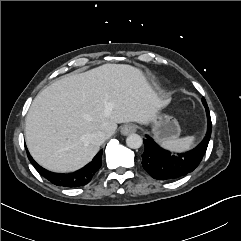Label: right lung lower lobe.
Listing matches in <instances>:
<instances>
[{
    "mask_svg": "<svg viewBox=\"0 0 241 241\" xmlns=\"http://www.w3.org/2000/svg\"><path fill=\"white\" fill-rule=\"evenodd\" d=\"M27 154L29 160L34 165L35 169L43 177L47 178L50 182L57 186L79 187L86 185L90 182L92 177L95 175V173L99 170V168L102 165V150H100L98 154L93 158V160L82 169L69 174H57L45 170L33 160L28 151Z\"/></svg>",
    "mask_w": 241,
    "mask_h": 241,
    "instance_id": "right-lung-lower-lobe-1",
    "label": "right lung lower lobe"
}]
</instances>
